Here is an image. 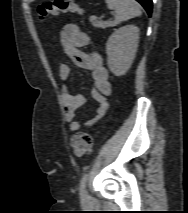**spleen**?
Returning <instances> with one entry per match:
<instances>
[{
  "label": "spleen",
  "instance_id": "spleen-1",
  "mask_svg": "<svg viewBox=\"0 0 188 213\" xmlns=\"http://www.w3.org/2000/svg\"><path fill=\"white\" fill-rule=\"evenodd\" d=\"M109 9L115 11V19L117 22L126 21L128 19L141 15L139 3L135 0H105Z\"/></svg>",
  "mask_w": 188,
  "mask_h": 213
}]
</instances>
